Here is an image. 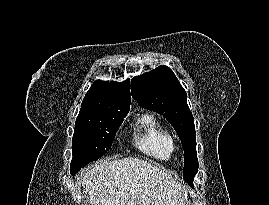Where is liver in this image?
<instances>
[{"instance_id":"6515ba94","label":"liver","mask_w":269,"mask_h":205,"mask_svg":"<svg viewBox=\"0 0 269 205\" xmlns=\"http://www.w3.org/2000/svg\"><path fill=\"white\" fill-rule=\"evenodd\" d=\"M91 205H181L187 190L151 163L134 157L103 161L81 176Z\"/></svg>"}]
</instances>
